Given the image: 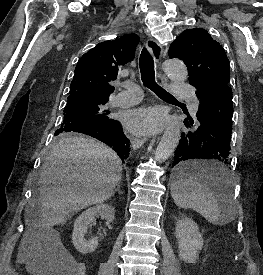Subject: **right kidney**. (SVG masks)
I'll list each match as a JSON object with an SVG mask.
<instances>
[{"instance_id":"right-kidney-1","label":"right kidney","mask_w":263,"mask_h":275,"mask_svg":"<svg viewBox=\"0 0 263 275\" xmlns=\"http://www.w3.org/2000/svg\"><path fill=\"white\" fill-rule=\"evenodd\" d=\"M97 215L105 218L107 222L110 223L113 222L115 218V209L108 204H99L87 209L75 220L72 241L75 248L82 254L91 253L98 247V237H92L88 241L84 239L88 224H90Z\"/></svg>"}]
</instances>
